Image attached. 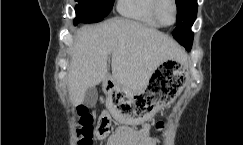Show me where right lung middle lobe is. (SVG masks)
Instances as JSON below:
<instances>
[{
  "label": "right lung middle lobe",
  "mask_w": 243,
  "mask_h": 145,
  "mask_svg": "<svg viewBox=\"0 0 243 145\" xmlns=\"http://www.w3.org/2000/svg\"><path fill=\"white\" fill-rule=\"evenodd\" d=\"M76 8L88 10L95 15L105 17L112 9L114 0H75ZM79 23V22H78Z\"/></svg>",
  "instance_id": "right-lung-middle-lobe-1"
}]
</instances>
